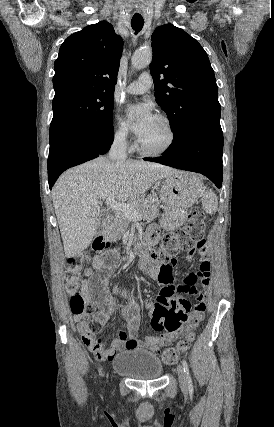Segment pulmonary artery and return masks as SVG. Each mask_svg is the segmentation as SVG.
<instances>
[{
	"instance_id": "e3ab8cb5",
	"label": "pulmonary artery",
	"mask_w": 274,
	"mask_h": 427,
	"mask_svg": "<svg viewBox=\"0 0 274 427\" xmlns=\"http://www.w3.org/2000/svg\"><path fill=\"white\" fill-rule=\"evenodd\" d=\"M152 77L148 73H143L136 81L129 84L125 91L132 95H141L149 91L152 86Z\"/></svg>"
}]
</instances>
